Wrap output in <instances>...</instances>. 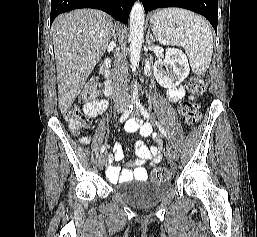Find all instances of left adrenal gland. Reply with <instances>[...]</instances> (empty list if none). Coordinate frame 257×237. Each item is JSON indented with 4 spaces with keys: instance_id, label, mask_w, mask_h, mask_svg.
I'll use <instances>...</instances> for the list:
<instances>
[{
    "instance_id": "obj_1",
    "label": "left adrenal gland",
    "mask_w": 257,
    "mask_h": 237,
    "mask_svg": "<svg viewBox=\"0 0 257 237\" xmlns=\"http://www.w3.org/2000/svg\"><path fill=\"white\" fill-rule=\"evenodd\" d=\"M147 41L150 43V44H153L154 43V38L150 32V29L148 30V34H147V37H146Z\"/></svg>"
}]
</instances>
